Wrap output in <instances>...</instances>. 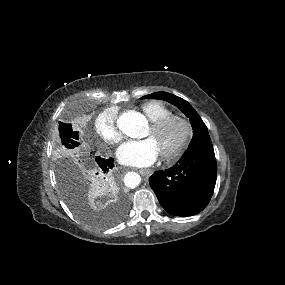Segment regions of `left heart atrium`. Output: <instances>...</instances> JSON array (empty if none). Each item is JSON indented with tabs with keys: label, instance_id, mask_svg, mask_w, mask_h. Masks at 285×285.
<instances>
[{
	"label": "left heart atrium",
	"instance_id": "39dd6f15",
	"mask_svg": "<svg viewBox=\"0 0 285 285\" xmlns=\"http://www.w3.org/2000/svg\"><path fill=\"white\" fill-rule=\"evenodd\" d=\"M160 149L152 138L127 141L117 150L119 161L125 165L146 167L152 165L160 156Z\"/></svg>",
	"mask_w": 285,
	"mask_h": 285
}]
</instances>
